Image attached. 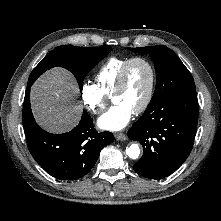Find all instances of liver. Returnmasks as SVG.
<instances>
[{
	"mask_svg": "<svg viewBox=\"0 0 221 221\" xmlns=\"http://www.w3.org/2000/svg\"><path fill=\"white\" fill-rule=\"evenodd\" d=\"M77 94L70 72L62 68L45 72L31 88V107L38 124L52 133L74 128L81 117Z\"/></svg>",
	"mask_w": 221,
	"mask_h": 221,
	"instance_id": "1",
	"label": "liver"
}]
</instances>
